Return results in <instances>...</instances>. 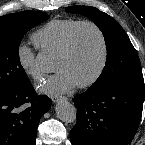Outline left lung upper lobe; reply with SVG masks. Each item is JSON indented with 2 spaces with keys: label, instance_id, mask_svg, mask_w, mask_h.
<instances>
[{
  "label": "left lung upper lobe",
  "instance_id": "5c2ea615",
  "mask_svg": "<svg viewBox=\"0 0 145 145\" xmlns=\"http://www.w3.org/2000/svg\"><path fill=\"white\" fill-rule=\"evenodd\" d=\"M65 11L92 19L104 35L108 53L106 64L99 78L89 89L99 90L143 80L137 52L126 32L114 18L91 6H71Z\"/></svg>",
  "mask_w": 145,
  "mask_h": 145
}]
</instances>
